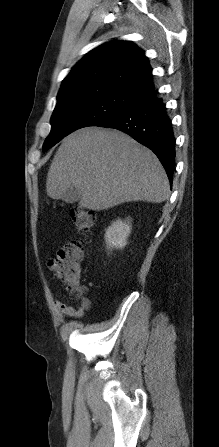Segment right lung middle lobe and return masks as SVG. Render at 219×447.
I'll return each instance as SVG.
<instances>
[{"instance_id": "1", "label": "right lung middle lobe", "mask_w": 219, "mask_h": 447, "mask_svg": "<svg viewBox=\"0 0 219 447\" xmlns=\"http://www.w3.org/2000/svg\"><path fill=\"white\" fill-rule=\"evenodd\" d=\"M139 102L138 98L110 86L78 85L61 89L43 152L73 131L97 126Z\"/></svg>"}]
</instances>
